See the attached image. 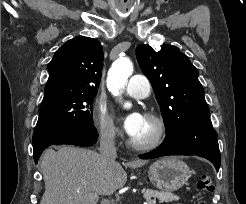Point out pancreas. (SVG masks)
<instances>
[{
	"label": "pancreas",
	"instance_id": "1",
	"mask_svg": "<svg viewBox=\"0 0 246 204\" xmlns=\"http://www.w3.org/2000/svg\"><path fill=\"white\" fill-rule=\"evenodd\" d=\"M143 197L146 200H149L151 198H157L161 203L164 202H172V201H177L180 199L179 196L172 194L171 192L167 191H157V190H151L147 189L146 191L143 192Z\"/></svg>",
	"mask_w": 246,
	"mask_h": 204
}]
</instances>
